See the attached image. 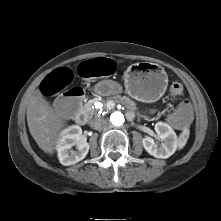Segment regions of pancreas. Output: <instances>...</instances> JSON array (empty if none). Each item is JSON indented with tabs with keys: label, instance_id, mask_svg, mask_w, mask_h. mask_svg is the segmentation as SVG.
<instances>
[{
	"label": "pancreas",
	"instance_id": "pancreas-1",
	"mask_svg": "<svg viewBox=\"0 0 221 221\" xmlns=\"http://www.w3.org/2000/svg\"><path fill=\"white\" fill-rule=\"evenodd\" d=\"M96 99L90 100L88 103L85 104L84 108L86 110V112L90 115L94 114L96 112V110L93 108V104L95 102ZM109 100H113L115 103H122L124 104L128 109H130L131 111H136L137 107L134 101H132L129 97L127 96H114L111 97L108 100H102V102L106 105V103Z\"/></svg>",
	"mask_w": 221,
	"mask_h": 221
}]
</instances>
